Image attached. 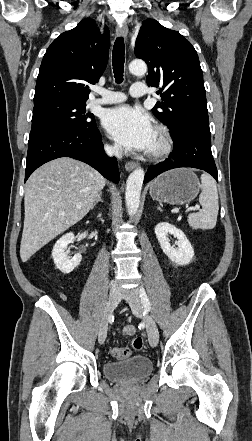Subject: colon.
<instances>
[{
  "instance_id": "obj_1",
  "label": "colon",
  "mask_w": 252,
  "mask_h": 441,
  "mask_svg": "<svg viewBox=\"0 0 252 441\" xmlns=\"http://www.w3.org/2000/svg\"><path fill=\"white\" fill-rule=\"evenodd\" d=\"M144 346L143 339L136 337L133 339L131 348L115 347L111 350V355L116 359H123L131 355L133 351H141Z\"/></svg>"
}]
</instances>
